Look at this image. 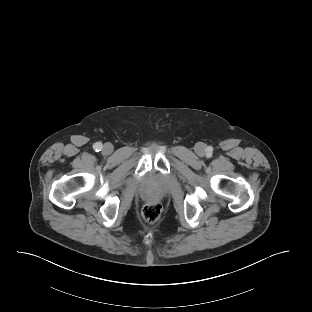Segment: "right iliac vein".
Here are the masks:
<instances>
[{
    "label": "right iliac vein",
    "mask_w": 312,
    "mask_h": 312,
    "mask_svg": "<svg viewBox=\"0 0 312 312\" xmlns=\"http://www.w3.org/2000/svg\"><path fill=\"white\" fill-rule=\"evenodd\" d=\"M102 150H103V152H104L105 154H111L112 151H113V146H112V144H110V143H106V144H104Z\"/></svg>",
    "instance_id": "1"
}]
</instances>
